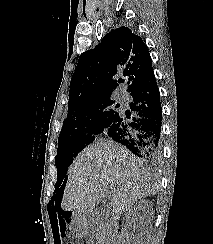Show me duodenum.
Masks as SVG:
<instances>
[{"instance_id": "410a0bca", "label": "duodenum", "mask_w": 213, "mask_h": 244, "mask_svg": "<svg viewBox=\"0 0 213 244\" xmlns=\"http://www.w3.org/2000/svg\"><path fill=\"white\" fill-rule=\"evenodd\" d=\"M95 216H96L95 214H93V215H88V216H87V221L90 222ZM114 238H115V236H112V237L110 238V243H112V241H113Z\"/></svg>"}]
</instances>
